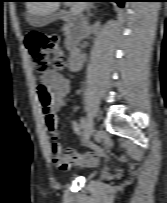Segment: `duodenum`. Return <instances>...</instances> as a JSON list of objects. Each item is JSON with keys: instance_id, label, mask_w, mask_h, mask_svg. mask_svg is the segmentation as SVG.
I'll list each match as a JSON object with an SVG mask.
<instances>
[{"instance_id": "1", "label": "duodenum", "mask_w": 167, "mask_h": 203, "mask_svg": "<svg viewBox=\"0 0 167 203\" xmlns=\"http://www.w3.org/2000/svg\"><path fill=\"white\" fill-rule=\"evenodd\" d=\"M63 19L67 24V34L64 43L68 51H73L83 32V24L81 20L74 15L66 14Z\"/></svg>"}]
</instances>
